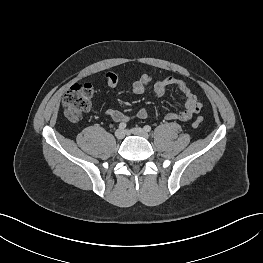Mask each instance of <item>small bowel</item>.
Listing matches in <instances>:
<instances>
[{"label": "small bowel", "instance_id": "small-bowel-1", "mask_svg": "<svg viewBox=\"0 0 263 263\" xmlns=\"http://www.w3.org/2000/svg\"><path fill=\"white\" fill-rule=\"evenodd\" d=\"M106 84L109 88H115L119 84V77L114 72H108L105 75ZM174 86L178 88L185 96V106L181 111L168 112L165 119L169 121H187L193 115L197 114L202 104L197 96L192 92L191 88L183 79L169 76L159 80H153L149 75H143L136 80L132 85V90L135 94H143L149 87L156 97H162L167 88ZM105 115L115 122H128L133 116L145 120L149 117V112L141 108L134 115L126 114L116 109H107Z\"/></svg>", "mask_w": 263, "mask_h": 263}]
</instances>
